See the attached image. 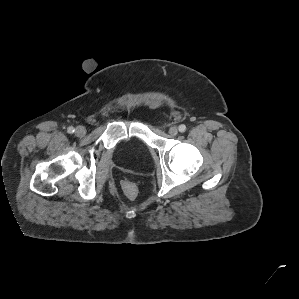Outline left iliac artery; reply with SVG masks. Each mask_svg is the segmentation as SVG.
<instances>
[{
    "instance_id": "44dca946",
    "label": "left iliac artery",
    "mask_w": 299,
    "mask_h": 299,
    "mask_svg": "<svg viewBox=\"0 0 299 299\" xmlns=\"http://www.w3.org/2000/svg\"><path fill=\"white\" fill-rule=\"evenodd\" d=\"M179 131L181 133L185 132L186 131V126L184 124H181L179 127H178Z\"/></svg>"
}]
</instances>
